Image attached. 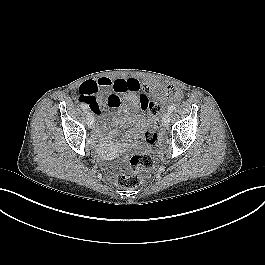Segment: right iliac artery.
<instances>
[{"instance_id":"1","label":"right iliac artery","mask_w":265,"mask_h":265,"mask_svg":"<svg viewBox=\"0 0 265 265\" xmlns=\"http://www.w3.org/2000/svg\"><path fill=\"white\" fill-rule=\"evenodd\" d=\"M80 106L82 107V109H83V111H84L85 113H87V112L89 111L88 106H87L86 104L81 103Z\"/></svg>"}]
</instances>
